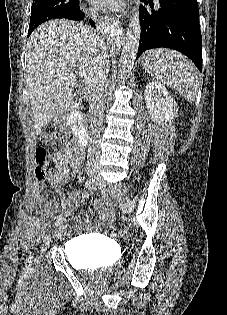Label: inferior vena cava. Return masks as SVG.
<instances>
[{
    "label": "inferior vena cava",
    "mask_w": 227,
    "mask_h": 315,
    "mask_svg": "<svg viewBox=\"0 0 227 315\" xmlns=\"http://www.w3.org/2000/svg\"><path fill=\"white\" fill-rule=\"evenodd\" d=\"M94 19H97L96 10H91L89 13ZM108 73H109V60L108 54L99 56L95 67L91 73V81L89 82V112L92 128V136L95 137L102 129L105 109V94L108 87ZM97 150L96 141L92 140L90 153H95Z\"/></svg>",
    "instance_id": "inferior-vena-cava-1"
}]
</instances>
